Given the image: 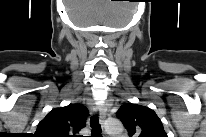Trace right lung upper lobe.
I'll use <instances>...</instances> for the list:
<instances>
[{
    "label": "right lung upper lobe",
    "mask_w": 206,
    "mask_h": 137,
    "mask_svg": "<svg viewBox=\"0 0 206 137\" xmlns=\"http://www.w3.org/2000/svg\"><path fill=\"white\" fill-rule=\"evenodd\" d=\"M87 108L81 104H70L51 110L39 122L36 137H74L85 127Z\"/></svg>",
    "instance_id": "obj_1"
}]
</instances>
